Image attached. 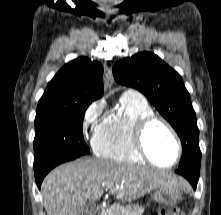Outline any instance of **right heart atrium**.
<instances>
[{
  "label": "right heart atrium",
  "instance_id": "1",
  "mask_svg": "<svg viewBox=\"0 0 221 215\" xmlns=\"http://www.w3.org/2000/svg\"><path fill=\"white\" fill-rule=\"evenodd\" d=\"M103 103L101 101H94L86 109L83 121L82 128L85 134L96 133L99 128V122L103 113Z\"/></svg>",
  "mask_w": 221,
  "mask_h": 215
}]
</instances>
